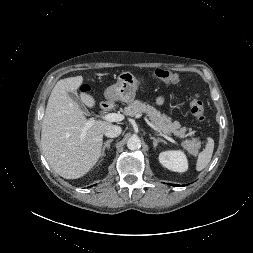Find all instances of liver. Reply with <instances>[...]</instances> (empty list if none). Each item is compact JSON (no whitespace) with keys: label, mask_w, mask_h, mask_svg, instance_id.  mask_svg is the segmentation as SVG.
<instances>
[{"label":"liver","mask_w":253,"mask_h":253,"mask_svg":"<svg viewBox=\"0 0 253 253\" xmlns=\"http://www.w3.org/2000/svg\"><path fill=\"white\" fill-rule=\"evenodd\" d=\"M97 76L107 73H96ZM83 77H69L59 80L48 99L42 122L41 146L51 168L66 179H77L89 172L101 157L103 134L109 122L87 119L79 106L70 98ZM83 103L92 108L94 98L81 94ZM88 122L91 126L83 136Z\"/></svg>","instance_id":"liver-1"}]
</instances>
